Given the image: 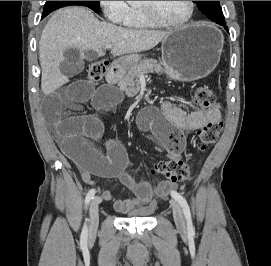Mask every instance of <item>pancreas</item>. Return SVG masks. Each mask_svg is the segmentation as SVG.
<instances>
[{
  "label": "pancreas",
  "instance_id": "cf45deb5",
  "mask_svg": "<svg viewBox=\"0 0 271 266\" xmlns=\"http://www.w3.org/2000/svg\"><path fill=\"white\" fill-rule=\"evenodd\" d=\"M161 71V64L156 60L144 59L129 68L128 73L119 81V86L126 92L127 96H135L140 89L138 81L140 75Z\"/></svg>",
  "mask_w": 271,
  "mask_h": 266
}]
</instances>
